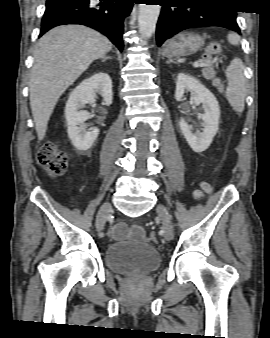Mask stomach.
Here are the masks:
<instances>
[{
    "label": "stomach",
    "instance_id": "obj_1",
    "mask_svg": "<svg viewBox=\"0 0 270 338\" xmlns=\"http://www.w3.org/2000/svg\"><path fill=\"white\" fill-rule=\"evenodd\" d=\"M204 45L203 39L194 33L182 32L168 40L163 47V55L168 58L190 56Z\"/></svg>",
    "mask_w": 270,
    "mask_h": 338
}]
</instances>
